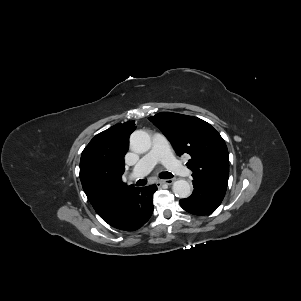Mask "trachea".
<instances>
[{
    "label": "trachea",
    "instance_id": "3493384b",
    "mask_svg": "<svg viewBox=\"0 0 301 301\" xmlns=\"http://www.w3.org/2000/svg\"><path fill=\"white\" fill-rule=\"evenodd\" d=\"M159 177L162 178V179H170L173 177L172 173L170 172H161L159 174ZM146 184V181L145 180H138L137 181V185L138 186H142V185H145Z\"/></svg>",
    "mask_w": 301,
    "mask_h": 301
}]
</instances>
